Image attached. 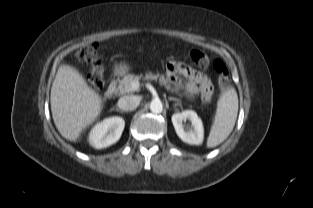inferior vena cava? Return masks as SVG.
<instances>
[{
  "mask_svg": "<svg viewBox=\"0 0 313 208\" xmlns=\"http://www.w3.org/2000/svg\"><path fill=\"white\" fill-rule=\"evenodd\" d=\"M140 104V98L135 95L121 97L118 100V107L124 111H133Z\"/></svg>",
  "mask_w": 313,
  "mask_h": 208,
  "instance_id": "1",
  "label": "inferior vena cava"
}]
</instances>
